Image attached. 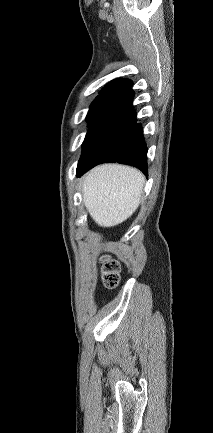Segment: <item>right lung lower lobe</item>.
<instances>
[{
	"label": "right lung lower lobe",
	"mask_w": 213,
	"mask_h": 433,
	"mask_svg": "<svg viewBox=\"0 0 213 433\" xmlns=\"http://www.w3.org/2000/svg\"><path fill=\"white\" fill-rule=\"evenodd\" d=\"M134 92L117 95L91 122L77 166V176L105 162L132 165L148 174L147 147L132 109Z\"/></svg>",
	"instance_id": "obj_1"
}]
</instances>
